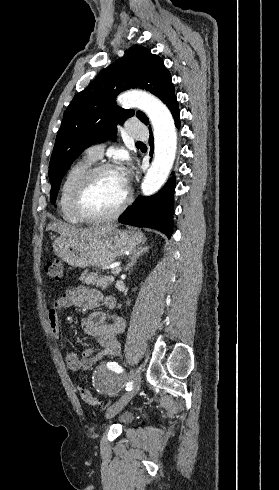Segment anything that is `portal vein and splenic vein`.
Wrapping results in <instances>:
<instances>
[{"label": "portal vein and splenic vein", "instance_id": "1", "mask_svg": "<svg viewBox=\"0 0 279 490\" xmlns=\"http://www.w3.org/2000/svg\"><path fill=\"white\" fill-rule=\"evenodd\" d=\"M119 272H121V268H118V266H116V268H112V274H119Z\"/></svg>", "mask_w": 279, "mask_h": 490}]
</instances>
